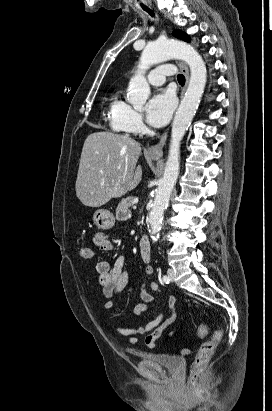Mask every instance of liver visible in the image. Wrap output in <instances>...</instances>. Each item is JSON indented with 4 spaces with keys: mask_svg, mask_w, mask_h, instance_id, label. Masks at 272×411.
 <instances>
[{
    "mask_svg": "<svg viewBox=\"0 0 272 411\" xmlns=\"http://www.w3.org/2000/svg\"><path fill=\"white\" fill-rule=\"evenodd\" d=\"M139 142L111 132L90 134L83 145L77 180L78 199L88 207H100L138 186L142 168Z\"/></svg>",
    "mask_w": 272,
    "mask_h": 411,
    "instance_id": "liver-1",
    "label": "liver"
}]
</instances>
